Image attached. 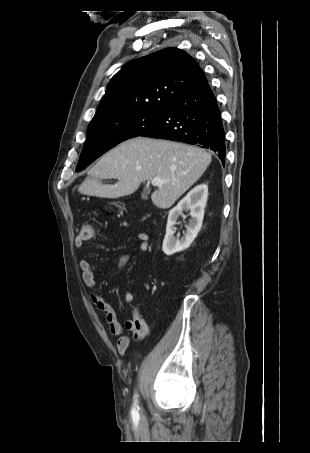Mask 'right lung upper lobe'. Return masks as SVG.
<instances>
[{
  "instance_id": "obj_1",
  "label": "right lung upper lobe",
  "mask_w": 310,
  "mask_h": 453,
  "mask_svg": "<svg viewBox=\"0 0 310 453\" xmlns=\"http://www.w3.org/2000/svg\"><path fill=\"white\" fill-rule=\"evenodd\" d=\"M205 78L186 52L167 48L133 60L115 74L94 118L132 111H162Z\"/></svg>"
}]
</instances>
